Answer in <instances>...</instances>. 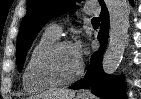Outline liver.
<instances>
[{"instance_id": "liver-1", "label": "liver", "mask_w": 141, "mask_h": 99, "mask_svg": "<svg viewBox=\"0 0 141 99\" xmlns=\"http://www.w3.org/2000/svg\"><path fill=\"white\" fill-rule=\"evenodd\" d=\"M75 96L74 90H55L45 92L41 95L30 97L37 99H73Z\"/></svg>"}]
</instances>
